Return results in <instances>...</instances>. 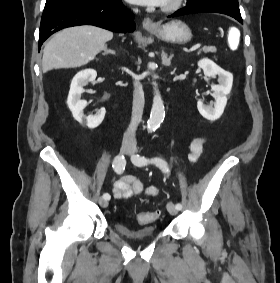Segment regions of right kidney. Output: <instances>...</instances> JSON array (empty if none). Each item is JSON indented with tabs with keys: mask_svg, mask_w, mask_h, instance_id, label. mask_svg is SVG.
I'll use <instances>...</instances> for the list:
<instances>
[{
	"mask_svg": "<svg viewBox=\"0 0 280 283\" xmlns=\"http://www.w3.org/2000/svg\"><path fill=\"white\" fill-rule=\"evenodd\" d=\"M97 72L94 69H85L78 72L72 79L70 91L67 99V104L71 110L74 119L82 126H87L90 129L98 127L104 117L106 110L101 108L95 115H86L83 110L87 102L81 100V95L84 92L83 86L89 82L94 83Z\"/></svg>",
	"mask_w": 280,
	"mask_h": 283,
	"instance_id": "ca27d5eb",
	"label": "right kidney"
}]
</instances>
